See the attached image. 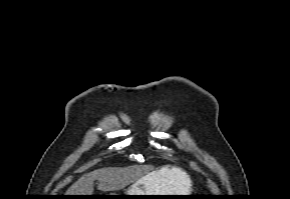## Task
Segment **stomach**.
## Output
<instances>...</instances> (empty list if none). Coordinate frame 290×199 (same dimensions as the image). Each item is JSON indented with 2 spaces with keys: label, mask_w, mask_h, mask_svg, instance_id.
I'll use <instances>...</instances> for the list:
<instances>
[{
  "label": "stomach",
  "mask_w": 290,
  "mask_h": 199,
  "mask_svg": "<svg viewBox=\"0 0 290 199\" xmlns=\"http://www.w3.org/2000/svg\"><path fill=\"white\" fill-rule=\"evenodd\" d=\"M159 172V171H158ZM154 172L152 175L144 176L137 180L124 194L113 193L110 195H181L171 194L176 191L168 189L165 186V182L162 178H157V173ZM125 199H150L147 196H125Z\"/></svg>",
  "instance_id": "obj_1"
}]
</instances>
